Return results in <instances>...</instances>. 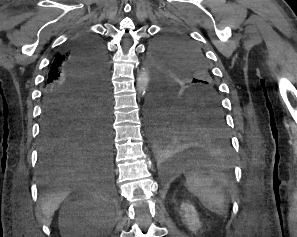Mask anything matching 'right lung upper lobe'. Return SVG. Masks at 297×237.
I'll return each mask as SVG.
<instances>
[{
	"label": "right lung upper lobe",
	"instance_id": "right-lung-upper-lobe-1",
	"mask_svg": "<svg viewBox=\"0 0 297 237\" xmlns=\"http://www.w3.org/2000/svg\"><path fill=\"white\" fill-rule=\"evenodd\" d=\"M70 59V51L67 48L63 53L57 54L48 74L47 87L62 84L69 81L67 64Z\"/></svg>",
	"mask_w": 297,
	"mask_h": 237
}]
</instances>
